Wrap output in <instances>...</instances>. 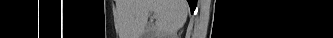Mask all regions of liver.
<instances>
[{
	"label": "liver",
	"instance_id": "6515ba94",
	"mask_svg": "<svg viewBox=\"0 0 333 38\" xmlns=\"http://www.w3.org/2000/svg\"><path fill=\"white\" fill-rule=\"evenodd\" d=\"M186 0H137L136 36L139 38L145 30L149 14H156L155 30L166 35H175L188 14Z\"/></svg>",
	"mask_w": 333,
	"mask_h": 38
}]
</instances>
